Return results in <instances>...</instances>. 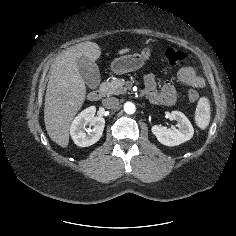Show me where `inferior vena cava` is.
<instances>
[{"label": "inferior vena cava", "mask_w": 236, "mask_h": 236, "mask_svg": "<svg viewBox=\"0 0 236 236\" xmlns=\"http://www.w3.org/2000/svg\"><path fill=\"white\" fill-rule=\"evenodd\" d=\"M106 109H116L119 106V99L116 97H108L102 101Z\"/></svg>", "instance_id": "602c4592"}]
</instances>
